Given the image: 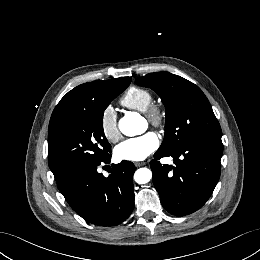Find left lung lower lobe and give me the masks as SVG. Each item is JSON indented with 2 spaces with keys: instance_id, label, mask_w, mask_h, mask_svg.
Wrapping results in <instances>:
<instances>
[{
  "instance_id": "left-lung-lower-lobe-1",
  "label": "left lung lower lobe",
  "mask_w": 260,
  "mask_h": 260,
  "mask_svg": "<svg viewBox=\"0 0 260 260\" xmlns=\"http://www.w3.org/2000/svg\"><path fill=\"white\" fill-rule=\"evenodd\" d=\"M223 152L221 139H202L175 150H159L150 162L153 184L163 207L176 216L201 208L220 177ZM174 158V166L162 165L161 157Z\"/></svg>"
}]
</instances>
